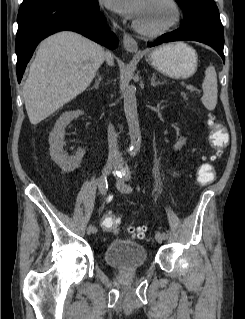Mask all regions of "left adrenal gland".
Returning <instances> with one entry per match:
<instances>
[{
	"instance_id": "1",
	"label": "left adrenal gland",
	"mask_w": 245,
	"mask_h": 319,
	"mask_svg": "<svg viewBox=\"0 0 245 319\" xmlns=\"http://www.w3.org/2000/svg\"><path fill=\"white\" fill-rule=\"evenodd\" d=\"M164 84V82L156 81V74L153 73L152 78H151V85L156 86V85H161Z\"/></svg>"
}]
</instances>
